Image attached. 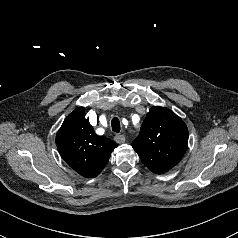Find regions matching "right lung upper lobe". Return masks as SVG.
Returning <instances> with one entry per match:
<instances>
[{
  "label": "right lung upper lobe",
  "instance_id": "right-lung-upper-lobe-1",
  "mask_svg": "<svg viewBox=\"0 0 238 238\" xmlns=\"http://www.w3.org/2000/svg\"><path fill=\"white\" fill-rule=\"evenodd\" d=\"M56 145L64 161L87 178L100 174L117 147L110 139L95 134L83 107L66 117L56 134Z\"/></svg>",
  "mask_w": 238,
  "mask_h": 238
}]
</instances>
